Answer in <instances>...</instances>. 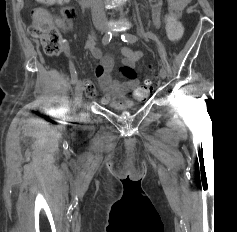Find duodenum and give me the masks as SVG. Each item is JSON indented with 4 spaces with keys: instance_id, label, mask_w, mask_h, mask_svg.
Wrapping results in <instances>:
<instances>
[{
    "instance_id": "obj_1",
    "label": "duodenum",
    "mask_w": 237,
    "mask_h": 232,
    "mask_svg": "<svg viewBox=\"0 0 237 232\" xmlns=\"http://www.w3.org/2000/svg\"><path fill=\"white\" fill-rule=\"evenodd\" d=\"M77 2L82 6V7H88L90 5V0H77Z\"/></svg>"
}]
</instances>
